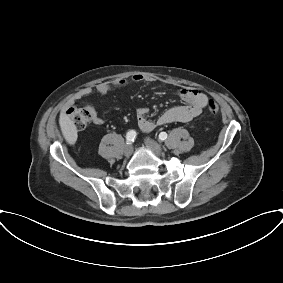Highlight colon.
Returning a JSON list of instances; mask_svg holds the SVG:
<instances>
[{
    "label": "colon",
    "instance_id": "obj_1",
    "mask_svg": "<svg viewBox=\"0 0 283 283\" xmlns=\"http://www.w3.org/2000/svg\"><path fill=\"white\" fill-rule=\"evenodd\" d=\"M207 107L212 115L219 112V106L214 100H209ZM65 117L78 130L85 129L92 120L90 109L79 105L70 106L65 112Z\"/></svg>",
    "mask_w": 283,
    "mask_h": 283
}]
</instances>
